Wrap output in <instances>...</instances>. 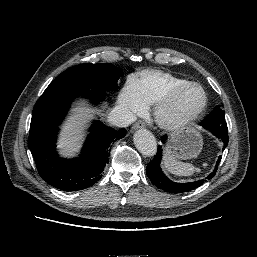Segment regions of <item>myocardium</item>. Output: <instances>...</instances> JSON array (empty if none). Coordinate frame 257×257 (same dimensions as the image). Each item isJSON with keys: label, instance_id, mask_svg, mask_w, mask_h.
<instances>
[{"label": "myocardium", "instance_id": "obj_1", "mask_svg": "<svg viewBox=\"0 0 257 257\" xmlns=\"http://www.w3.org/2000/svg\"><path fill=\"white\" fill-rule=\"evenodd\" d=\"M199 88L203 94L200 106L190 115L184 117H171L167 113L168 107L175 99L189 88ZM208 105V96L205 89L198 83L188 82L172 89L160 102L156 104L155 117L161 127L167 130H179L197 121L205 112Z\"/></svg>", "mask_w": 257, "mask_h": 257}]
</instances>
